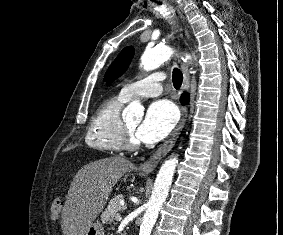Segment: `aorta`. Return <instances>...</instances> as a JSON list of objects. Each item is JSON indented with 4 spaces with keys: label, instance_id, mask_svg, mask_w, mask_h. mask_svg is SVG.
Segmentation results:
<instances>
[{
    "label": "aorta",
    "instance_id": "aorta-1",
    "mask_svg": "<svg viewBox=\"0 0 283 235\" xmlns=\"http://www.w3.org/2000/svg\"><path fill=\"white\" fill-rule=\"evenodd\" d=\"M172 54L173 50L167 46H157L153 49L146 50L141 57V66L146 71L154 70L170 59ZM190 58L189 55H186L185 59L187 60ZM142 116L143 107L139 101L131 102L123 111L124 119L135 117L140 120ZM177 163L178 159L175 156L162 164L154 182L151 198L146 205V211L140 225L139 235L151 234L152 228L158 218L160 208L168 196Z\"/></svg>",
    "mask_w": 283,
    "mask_h": 235
}]
</instances>
